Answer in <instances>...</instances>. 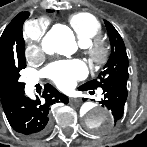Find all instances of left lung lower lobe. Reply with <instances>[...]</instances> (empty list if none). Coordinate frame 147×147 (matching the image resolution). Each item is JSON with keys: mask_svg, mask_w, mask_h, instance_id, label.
<instances>
[{"mask_svg": "<svg viewBox=\"0 0 147 147\" xmlns=\"http://www.w3.org/2000/svg\"><path fill=\"white\" fill-rule=\"evenodd\" d=\"M104 99L100 101L102 106L111 110L114 117L113 123L116 124L123 116L124 106L127 99V80L120 79L102 85ZM79 90H91L83 86Z\"/></svg>", "mask_w": 147, "mask_h": 147, "instance_id": "0a47b994", "label": "left lung lower lobe"}]
</instances>
